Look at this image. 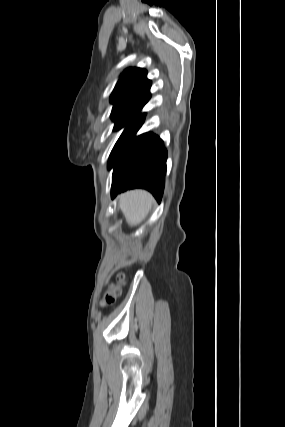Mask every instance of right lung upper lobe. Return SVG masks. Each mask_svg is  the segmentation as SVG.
<instances>
[{
  "mask_svg": "<svg viewBox=\"0 0 285 427\" xmlns=\"http://www.w3.org/2000/svg\"><path fill=\"white\" fill-rule=\"evenodd\" d=\"M147 71L141 68H128L117 82L110 102L114 104L111 116L139 114L150 99L151 81Z\"/></svg>",
  "mask_w": 285,
  "mask_h": 427,
  "instance_id": "obj_1",
  "label": "right lung upper lobe"
}]
</instances>
